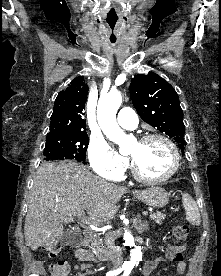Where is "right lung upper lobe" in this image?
Instances as JSON below:
<instances>
[{"instance_id":"right-lung-upper-lobe-1","label":"right lung upper lobe","mask_w":221,"mask_h":276,"mask_svg":"<svg viewBox=\"0 0 221 276\" xmlns=\"http://www.w3.org/2000/svg\"><path fill=\"white\" fill-rule=\"evenodd\" d=\"M87 93L88 86L84 82V77L79 76L58 94L47 136L86 133V121L83 115Z\"/></svg>"}]
</instances>
